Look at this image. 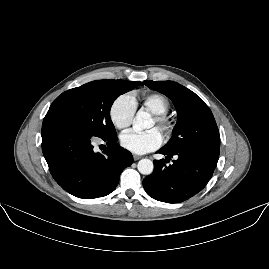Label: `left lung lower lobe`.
I'll use <instances>...</instances> for the list:
<instances>
[{"instance_id":"0a47b994","label":"left lung lower lobe","mask_w":269,"mask_h":269,"mask_svg":"<svg viewBox=\"0 0 269 269\" xmlns=\"http://www.w3.org/2000/svg\"><path fill=\"white\" fill-rule=\"evenodd\" d=\"M157 153L165 160L154 161V171L143 180L147 194L162 202L179 203L200 192L216 168L218 157L205 151H186L162 147ZM171 164H167L173 156Z\"/></svg>"}]
</instances>
